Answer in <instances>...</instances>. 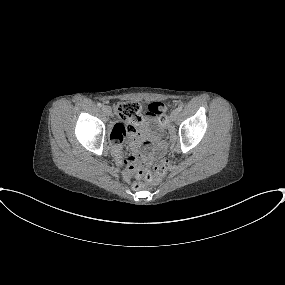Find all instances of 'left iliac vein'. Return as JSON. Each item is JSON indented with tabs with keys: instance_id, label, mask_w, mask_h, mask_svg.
Segmentation results:
<instances>
[{
	"instance_id": "obj_1",
	"label": "left iliac vein",
	"mask_w": 285,
	"mask_h": 285,
	"mask_svg": "<svg viewBox=\"0 0 285 285\" xmlns=\"http://www.w3.org/2000/svg\"><path fill=\"white\" fill-rule=\"evenodd\" d=\"M179 116V111L177 109H174L170 114L171 121H176Z\"/></svg>"
}]
</instances>
